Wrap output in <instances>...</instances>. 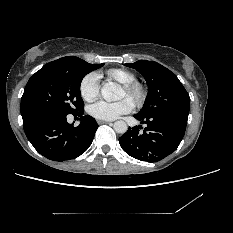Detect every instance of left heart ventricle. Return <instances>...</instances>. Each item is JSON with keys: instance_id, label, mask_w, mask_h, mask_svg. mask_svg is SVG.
<instances>
[{"instance_id": "b2bd125f", "label": "left heart ventricle", "mask_w": 233, "mask_h": 233, "mask_svg": "<svg viewBox=\"0 0 233 233\" xmlns=\"http://www.w3.org/2000/svg\"><path fill=\"white\" fill-rule=\"evenodd\" d=\"M124 97H127L124 89L122 88L121 91H120V95H119V98H124Z\"/></svg>"}]
</instances>
